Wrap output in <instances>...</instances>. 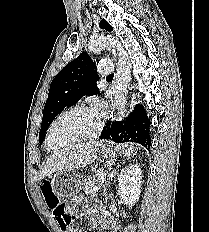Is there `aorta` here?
<instances>
[{"mask_svg":"<svg viewBox=\"0 0 209 232\" xmlns=\"http://www.w3.org/2000/svg\"><path fill=\"white\" fill-rule=\"evenodd\" d=\"M109 47H116L117 49V70L112 88L114 91L119 120H121L126 105L127 89L131 81V63L128 54L122 47L121 43L109 35H98L95 38L90 39L88 43V49L92 53H99L104 48Z\"/></svg>","mask_w":209,"mask_h":232,"instance_id":"aorta-1","label":"aorta"}]
</instances>
